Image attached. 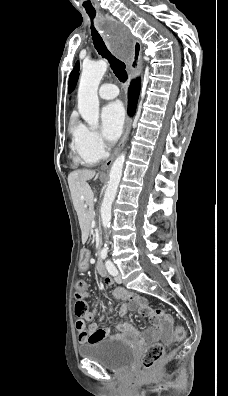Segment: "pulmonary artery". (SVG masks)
<instances>
[{
	"mask_svg": "<svg viewBox=\"0 0 228 396\" xmlns=\"http://www.w3.org/2000/svg\"><path fill=\"white\" fill-rule=\"evenodd\" d=\"M119 95V90L116 85L105 83L99 88V96L104 100H110Z\"/></svg>",
	"mask_w": 228,
	"mask_h": 396,
	"instance_id": "pulmonary-artery-1",
	"label": "pulmonary artery"
}]
</instances>
